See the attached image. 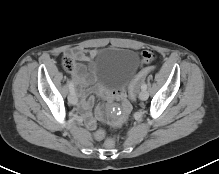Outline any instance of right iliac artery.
<instances>
[{
    "label": "right iliac artery",
    "instance_id": "right-iliac-artery-1",
    "mask_svg": "<svg viewBox=\"0 0 219 174\" xmlns=\"http://www.w3.org/2000/svg\"><path fill=\"white\" fill-rule=\"evenodd\" d=\"M69 89L70 93H75L74 84L72 80L69 81Z\"/></svg>",
    "mask_w": 219,
    "mask_h": 174
}]
</instances>
